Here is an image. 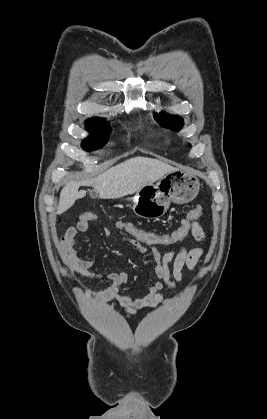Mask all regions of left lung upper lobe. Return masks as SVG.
I'll return each mask as SVG.
<instances>
[{"label":"left lung upper lobe","mask_w":267,"mask_h":419,"mask_svg":"<svg viewBox=\"0 0 267 419\" xmlns=\"http://www.w3.org/2000/svg\"><path fill=\"white\" fill-rule=\"evenodd\" d=\"M156 118L159 119L163 126L170 127L176 131L180 130L183 126V120L177 116H171L165 112L155 114Z\"/></svg>","instance_id":"left-lung-upper-lobe-1"}]
</instances>
